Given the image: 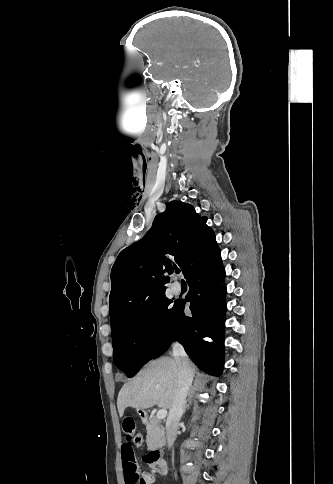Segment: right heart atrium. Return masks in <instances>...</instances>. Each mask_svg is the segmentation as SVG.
Here are the masks:
<instances>
[{
	"mask_svg": "<svg viewBox=\"0 0 333 484\" xmlns=\"http://www.w3.org/2000/svg\"><path fill=\"white\" fill-rule=\"evenodd\" d=\"M152 329L154 332H157V333L162 332L164 329V323L162 322V320L160 319L155 320L152 325Z\"/></svg>",
	"mask_w": 333,
	"mask_h": 484,
	"instance_id": "right-heart-atrium-1",
	"label": "right heart atrium"
}]
</instances>
